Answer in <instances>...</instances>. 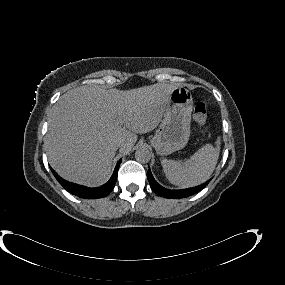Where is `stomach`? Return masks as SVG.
Returning a JSON list of instances; mask_svg holds the SVG:
<instances>
[{
	"label": "stomach",
	"instance_id": "0dacf381",
	"mask_svg": "<svg viewBox=\"0 0 285 285\" xmlns=\"http://www.w3.org/2000/svg\"><path fill=\"white\" fill-rule=\"evenodd\" d=\"M192 97L183 86L174 87L165 107L162 123L151 140L160 155L184 148L190 136Z\"/></svg>",
	"mask_w": 285,
	"mask_h": 285
}]
</instances>
